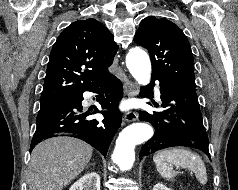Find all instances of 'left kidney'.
Here are the masks:
<instances>
[{
    "label": "left kidney",
    "instance_id": "1",
    "mask_svg": "<svg viewBox=\"0 0 238 190\" xmlns=\"http://www.w3.org/2000/svg\"><path fill=\"white\" fill-rule=\"evenodd\" d=\"M153 190H172V189L166 187V186L163 185L162 183H157V184L154 186Z\"/></svg>",
    "mask_w": 238,
    "mask_h": 190
}]
</instances>
